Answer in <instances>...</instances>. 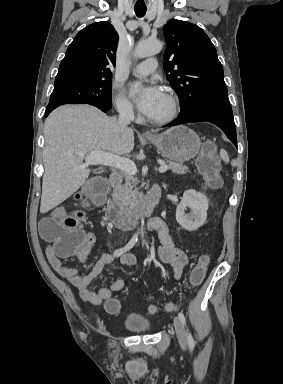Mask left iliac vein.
Masks as SVG:
<instances>
[{
  "label": "left iliac vein",
  "mask_w": 283,
  "mask_h": 384,
  "mask_svg": "<svg viewBox=\"0 0 283 384\" xmlns=\"http://www.w3.org/2000/svg\"><path fill=\"white\" fill-rule=\"evenodd\" d=\"M173 323H174L179 345L181 346L182 349H185L187 346V336H186L184 326L178 317H174Z\"/></svg>",
  "instance_id": "1"
}]
</instances>
